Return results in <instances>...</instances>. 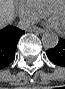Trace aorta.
Segmentation results:
<instances>
[{"label":"aorta","instance_id":"obj_1","mask_svg":"<svg viewBox=\"0 0 65 89\" xmlns=\"http://www.w3.org/2000/svg\"><path fill=\"white\" fill-rule=\"evenodd\" d=\"M59 41L58 35L55 32L46 31L42 35V43L46 49H52L57 46Z\"/></svg>","mask_w":65,"mask_h":89}]
</instances>
